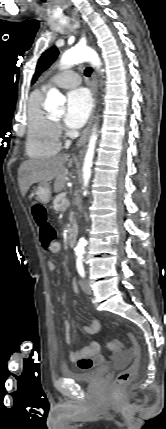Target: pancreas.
<instances>
[{"label": "pancreas", "mask_w": 166, "mask_h": 429, "mask_svg": "<svg viewBox=\"0 0 166 429\" xmlns=\"http://www.w3.org/2000/svg\"><path fill=\"white\" fill-rule=\"evenodd\" d=\"M66 199L65 195H58L53 201V208L56 211H65L69 205V202L64 203L63 201Z\"/></svg>", "instance_id": "pancreas-1"}]
</instances>
